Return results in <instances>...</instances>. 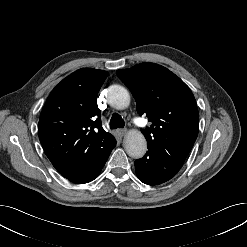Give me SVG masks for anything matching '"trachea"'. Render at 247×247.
<instances>
[{"mask_svg": "<svg viewBox=\"0 0 247 247\" xmlns=\"http://www.w3.org/2000/svg\"><path fill=\"white\" fill-rule=\"evenodd\" d=\"M109 125L111 129L123 128L125 122L119 114L115 113L112 115Z\"/></svg>", "mask_w": 247, "mask_h": 247, "instance_id": "3493384b", "label": "trachea"}]
</instances>
